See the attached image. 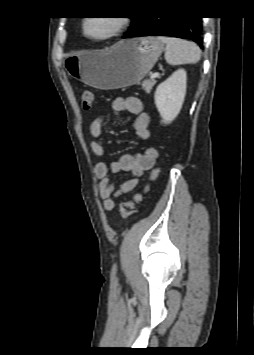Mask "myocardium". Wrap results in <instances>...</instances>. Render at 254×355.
Returning a JSON list of instances; mask_svg holds the SVG:
<instances>
[{"label":"myocardium","instance_id":"1","mask_svg":"<svg viewBox=\"0 0 254 355\" xmlns=\"http://www.w3.org/2000/svg\"><path fill=\"white\" fill-rule=\"evenodd\" d=\"M92 18H95V17L89 16L84 19L83 24H82V32L86 38L93 40V41H105V40L114 38L115 36L119 35L126 28L128 21H129V19L125 16L108 17V18L112 19L114 22L113 30L104 36L94 37V36H91L87 33V23Z\"/></svg>","mask_w":254,"mask_h":355}]
</instances>
